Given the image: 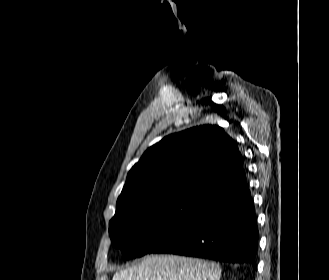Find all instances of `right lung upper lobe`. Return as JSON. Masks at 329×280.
Instances as JSON below:
<instances>
[{
    "label": "right lung upper lobe",
    "instance_id": "obj_1",
    "mask_svg": "<svg viewBox=\"0 0 329 280\" xmlns=\"http://www.w3.org/2000/svg\"><path fill=\"white\" fill-rule=\"evenodd\" d=\"M243 168L237 144L216 125L171 134L145 151L128 173L117 204L178 195L203 197Z\"/></svg>",
    "mask_w": 329,
    "mask_h": 280
}]
</instances>
